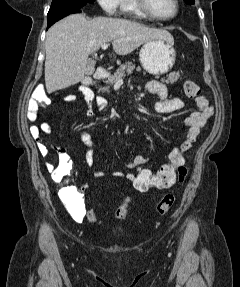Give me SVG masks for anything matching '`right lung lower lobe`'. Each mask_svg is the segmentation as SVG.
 Returning <instances> with one entry per match:
<instances>
[{"mask_svg":"<svg viewBox=\"0 0 240 287\" xmlns=\"http://www.w3.org/2000/svg\"><path fill=\"white\" fill-rule=\"evenodd\" d=\"M81 12V9H75V10H72V11H68V12H64V13H60V14H57V15H54L52 17H50L48 20V27L47 29L53 25L56 21L60 20L61 18L69 15V14H73V13H80Z\"/></svg>","mask_w":240,"mask_h":287,"instance_id":"1","label":"right lung lower lobe"}]
</instances>
